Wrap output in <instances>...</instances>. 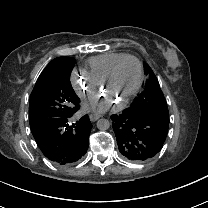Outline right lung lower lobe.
Instances as JSON below:
<instances>
[{
    "instance_id": "right-lung-lower-lobe-1",
    "label": "right lung lower lobe",
    "mask_w": 208,
    "mask_h": 208,
    "mask_svg": "<svg viewBox=\"0 0 208 208\" xmlns=\"http://www.w3.org/2000/svg\"><path fill=\"white\" fill-rule=\"evenodd\" d=\"M72 115L30 122L32 134L43 154L59 165L72 164L87 152L92 124L87 115L69 124Z\"/></svg>"
}]
</instances>
